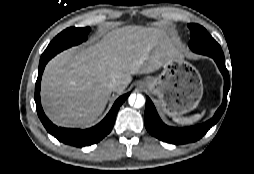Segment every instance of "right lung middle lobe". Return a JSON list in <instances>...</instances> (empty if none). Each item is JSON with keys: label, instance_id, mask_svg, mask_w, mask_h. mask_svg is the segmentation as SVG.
Here are the masks:
<instances>
[{"label": "right lung middle lobe", "instance_id": "1", "mask_svg": "<svg viewBox=\"0 0 254 174\" xmlns=\"http://www.w3.org/2000/svg\"><path fill=\"white\" fill-rule=\"evenodd\" d=\"M90 32L89 27L75 28L70 27L59 33L48 45L46 50L41 56L40 63L43 61H49L57 53L71 46L80 44L86 41L87 35Z\"/></svg>", "mask_w": 254, "mask_h": 174}]
</instances>
